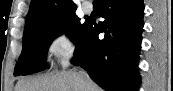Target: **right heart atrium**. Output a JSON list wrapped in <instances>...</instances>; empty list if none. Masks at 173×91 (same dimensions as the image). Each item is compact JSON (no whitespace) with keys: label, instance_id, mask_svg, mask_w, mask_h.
<instances>
[{"label":"right heart atrium","instance_id":"right-heart-atrium-1","mask_svg":"<svg viewBox=\"0 0 173 91\" xmlns=\"http://www.w3.org/2000/svg\"><path fill=\"white\" fill-rule=\"evenodd\" d=\"M76 48L77 43L75 38L66 31L54 35L48 44L49 53L63 67H66L70 63Z\"/></svg>","mask_w":173,"mask_h":91}]
</instances>
